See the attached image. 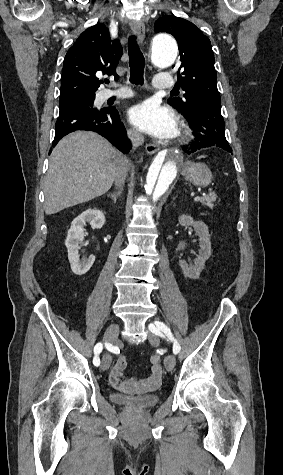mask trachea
I'll return each instance as SVG.
<instances>
[{"label":"trachea","instance_id":"obj_1","mask_svg":"<svg viewBox=\"0 0 283 475\" xmlns=\"http://www.w3.org/2000/svg\"><path fill=\"white\" fill-rule=\"evenodd\" d=\"M130 82L135 85L144 84L145 58L137 45L136 37L130 36L128 41Z\"/></svg>","mask_w":283,"mask_h":475}]
</instances>
